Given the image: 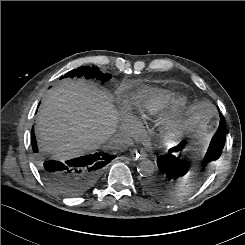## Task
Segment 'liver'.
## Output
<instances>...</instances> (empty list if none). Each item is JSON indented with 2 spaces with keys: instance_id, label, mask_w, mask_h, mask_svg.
I'll list each match as a JSON object with an SVG mask.
<instances>
[{
  "instance_id": "obj_1",
  "label": "liver",
  "mask_w": 245,
  "mask_h": 245,
  "mask_svg": "<svg viewBox=\"0 0 245 245\" xmlns=\"http://www.w3.org/2000/svg\"><path fill=\"white\" fill-rule=\"evenodd\" d=\"M158 120L168 136L184 127L173 115ZM116 125L117 114L105 92L83 80H65L45 96L36 136L43 151L64 161L96 149L115 132Z\"/></svg>"
}]
</instances>
